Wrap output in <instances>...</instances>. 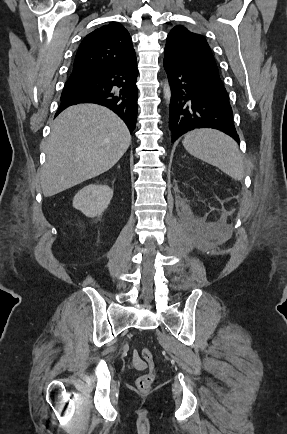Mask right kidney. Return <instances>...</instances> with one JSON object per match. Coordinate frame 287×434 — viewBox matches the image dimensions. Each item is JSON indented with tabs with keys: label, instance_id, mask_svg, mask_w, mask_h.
Wrapping results in <instances>:
<instances>
[{
	"label": "right kidney",
	"instance_id": "obj_1",
	"mask_svg": "<svg viewBox=\"0 0 287 434\" xmlns=\"http://www.w3.org/2000/svg\"><path fill=\"white\" fill-rule=\"evenodd\" d=\"M113 196L108 185L90 184L82 188L73 199V207L88 217L99 216L107 209Z\"/></svg>",
	"mask_w": 287,
	"mask_h": 434
}]
</instances>
